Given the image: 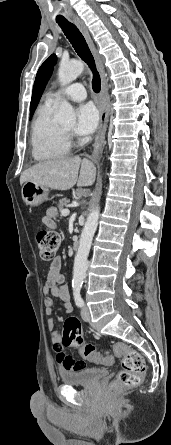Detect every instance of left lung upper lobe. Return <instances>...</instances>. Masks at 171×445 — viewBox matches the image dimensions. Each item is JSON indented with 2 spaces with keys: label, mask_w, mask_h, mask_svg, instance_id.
Masks as SVG:
<instances>
[{
  "label": "left lung upper lobe",
  "mask_w": 171,
  "mask_h": 445,
  "mask_svg": "<svg viewBox=\"0 0 171 445\" xmlns=\"http://www.w3.org/2000/svg\"><path fill=\"white\" fill-rule=\"evenodd\" d=\"M57 57L52 54L39 68L36 79L34 82L31 105H30V118L32 117L41 95L45 89V86L52 74L53 66L56 64Z\"/></svg>",
  "instance_id": "obj_1"
}]
</instances>
